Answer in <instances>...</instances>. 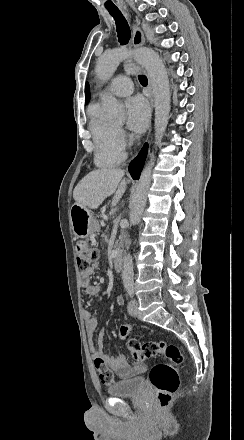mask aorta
Instances as JSON below:
<instances>
[{
	"mask_svg": "<svg viewBox=\"0 0 244 440\" xmlns=\"http://www.w3.org/2000/svg\"><path fill=\"white\" fill-rule=\"evenodd\" d=\"M132 56L142 64L148 73L152 84L155 104V144L159 145L168 124L170 112V87L166 68L159 55L151 49L139 48L131 54L124 49H114L103 54L97 62V76L107 81L112 77L119 63ZM103 109L105 117L110 122H123L125 120L124 106L112 95L103 98ZM154 160L151 159L142 171L137 187L132 197L130 210V224L139 223L147 201V194L152 181V168ZM122 279L124 286H132L133 262L132 256L127 254L124 257Z\"/></svg>",
	"mask_w": 244,
	"mask_h": 440,
	"instance_id": "obj_1",
	"label": "aorta"
}]
</instances>
